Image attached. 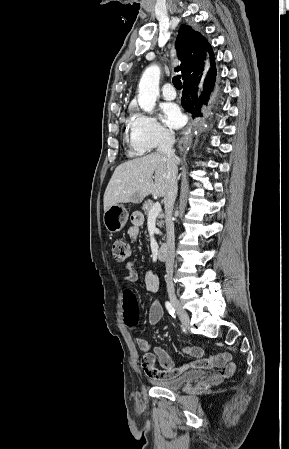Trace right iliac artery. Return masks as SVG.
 <instances>
[{
    "label": "right iliac artery",
    "mask_w": 289,
    "mask_h": 449,
    "mask_svg": "<svg viewBox=\"0 0 289 449\" xmlns=\"http://www.w3.org/2000/svg\"><path fill=\"white\" fill-rule=\"evenodd\" d=\"M165 307H166V309L168 310L169 314H170L172 317L176 318V315H175V309H174L173 305H172L170 302L167 301V302L165 303Z\"/></svg>",
    "instance_id": "82829eb1"
}]
</instances>
